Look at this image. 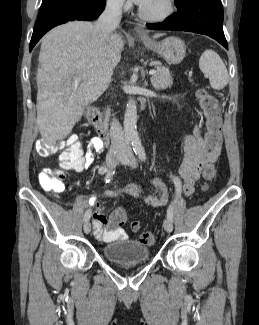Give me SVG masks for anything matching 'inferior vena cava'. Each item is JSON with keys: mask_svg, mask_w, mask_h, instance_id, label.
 Listing matches in <instances>:
<instances>
[{"mask_svg": "<svg viewBox=\"0 0 259 325\" xmlns=\"http://www.w3.org/2000/svg\"><path fill=\"white\" fill-rule=\"evenodd\" d=\"M124 0H109L104 12L100 15L95 26L99 29L105 38L119 26L122 15ZM111 150L126 148V139L124 131L119 121L113 118L110 124Z\"/></svg>", "mask_w": 259, "mask_h": 325, "instance_id": "inferior-vena-cava-1", "label": "inferior vena cava"}]
</instances>
